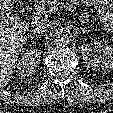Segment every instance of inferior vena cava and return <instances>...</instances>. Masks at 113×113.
Returning a JSON list of instances; mask_svg holds the SVG:
<instances>
[{"instance_id": "inferior-vena-cava-1", "label": "inferior vena cava", "mask_w": 113, "mask_h": 113, "mask_svg": "<svg viewBox=\"0 0 113 113\" xmlns=\"http://www.w3.org/2000/svg\"><path fill=\"white\" fill-rule=\"evenodd\" d=\"M50 28H51V25H50V24H41V25H38V26L33 30V32H34V33H37V34H42V33L47 32Z\"/></svg>"}]
</instances>
